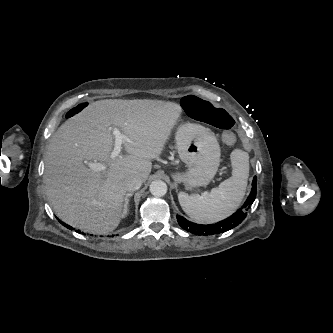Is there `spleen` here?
I'll use <instances>...</instances> for the list:
<instances>
[{
    "mask_svg": "<svg viewBox=\"0 0 333 333\" xmlns=\"http://www.w3.org/2000/svg\"><path fill=\"white\" fill-rule=\"evenodd\" d=\"M232 176L203 195L178 194L184 212L198 223H214L227 218L240 205L245 195L249 176L248 153L235 149L230 155Z\"/></svg>",
    "mask_w": 333,
    "mask_h": 333,
    "instance_id": "obj_1",
    "label": "spleen"
}]
</instances>
